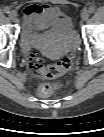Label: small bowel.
I'll return each instance as SVG.
<instances>
[{"label": "small bowel", "instance_id": "c3829d8e", "mask_svg": "<svg viewBox=\"0 0 104 137\" xmlns=\"http://www.w3.org/2000/svg\"><path fill=\"white\" fill-rule=\"evenodd\" d=\"M53 24L69 27L70 17L58 6L31 4L25 8L24 26L29 39L33 38L36 30L48 28Z\"/></svg>", "mask_w": 104, "mask_h": 137}]
</instances>
